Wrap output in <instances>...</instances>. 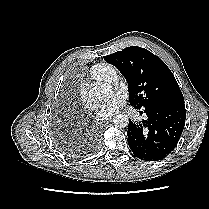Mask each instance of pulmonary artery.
<instances>
[{
  "instance_id": "e3ab8cb5",
  "label": "pulmonary artery",
  "mask_w": 209,
  "mask_h": 209,
  "mask_svg": "<svg viewBox=\"0 0 209 209\" xmlns=\"http://www.w3.org/2000/svg\"><path fill=\"white\" fill-rule=\"evenodd\" d=\"M117 78H118V76H117V73L115 71L110 75L109 82H116Z\"/></svg>"
}]
</instances>
